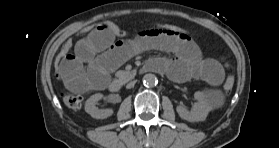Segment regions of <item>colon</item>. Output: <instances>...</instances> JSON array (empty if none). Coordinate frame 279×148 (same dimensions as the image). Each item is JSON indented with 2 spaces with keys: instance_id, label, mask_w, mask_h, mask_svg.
I'll use <instances>...</instances> for the list:
<instances>
[{
  "instance_id": "1",
  "label": "colon",
  "mask_w": 279,
  "mask_h": 148,
  "mask_svg": "<svg viewBox=\"0 0 279 148\" xmlns=\"http://www.w3.org/2000/svg\"><path fill=\"white\" fill-rule=\"evenodd\" d=\"M93 29H105L111 32L114 36L120 37V38H126L128 36H134L139 34H148L152 32H166L170 34H175L178 36H182L185 38H190L187 30H185L183 27L175 25V24H156L155 26L149 27V28H141V29H134V30H128L123 28L122 26L118 25L115 22L112 21H104L95 25H89L85 27L82 30V34H87ZM74 48V40L68 39L61 47L60 51L58 52L56 59H55V68L56 72L58 74V69L60 66L61 61L64 57H66L69 53L72 52ZM234 77L232 75H228L223 90L225 94H230L234 88ZM63 101L65 105L72 111H78L82 106L83 98L80 95L76 94H64L63 95Z\"/></svg>"
}]
</instances>
